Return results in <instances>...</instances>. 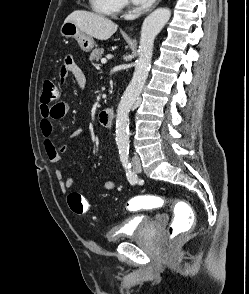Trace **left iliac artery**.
Here are the masks:
<instances>
[{
	"label": "left iliac artery",
	"mask_w": 249,
	"mask_h": 294,
	"mask_svg": "<svg viewBox=\"0 0 249 294\" xmlns=\"http://www.w3.org/2000/svg\"><path fill=\"white\" fill-rule=\"evenodd\" d=\"M120 160L126 170V176L131 184L138 181L137 175L131 170V163L129 162V146L123 145L119 147Z\"/></svg>",
	"instance_id": "1"
}]
</instances>
